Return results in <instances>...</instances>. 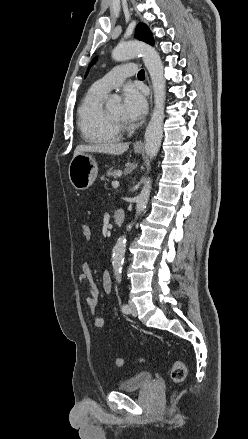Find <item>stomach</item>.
<instances>
[{
  "label": "stomach",
  "mask_w": 248,
  "mask_h": 439,
  "mask_svg": "<svg viewBox=\"0 0 248 439\" xmlns=\"http://www.w3.org/2000/svg\"><path fill=\"white\" fill-rule=\"evenodd\" d=\"M140 153L141 149H135ZM98 173L97 163L94 157L88 153H80L74 156L69 164V180L77 190H86L95 181Z\"/></svg>",
  "instance_id": "obj_1"
}]
</instances>
